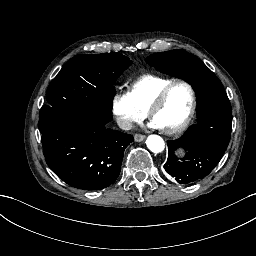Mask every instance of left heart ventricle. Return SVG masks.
<instances>
[{"label": "left heart ventricle", "instance_id": "b2bd125f", "mask_svg": "<svg viewBox=\"0 0 256 256\" xmlns=\"http://www.w3.org/2000/svg\"><path fill=\"white\" fill-rule=\"evenodd\" d=\"M190 108L189 89L179 83L171 88L162 105L152 112V117L164 125L165 132H169L184 121Z\"/></svg>", "mask_w": 256, "mask_h": 256}]
</instances>
